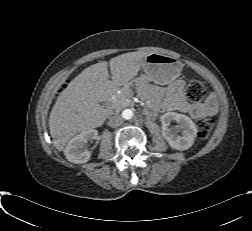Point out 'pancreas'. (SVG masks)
Returning a JSON list of instances; mask_svg holds the SVG:
<instances>
[{"label": "pancreas", "mask_w": 252, "mask_h": 231, "mask_svg": "<svg viewBox=\"0 0 252 231\" xmlns=\"http://www.w3.org/2000/svg\"><path fill=\"white\" fill-rule=\"evenodd\" d=\"M128 105H129V96L125 93V90H124L123 93L117 97L115 101V107L122 108Z\"/></svg>", "instance_id": "1"}]
</instances>
